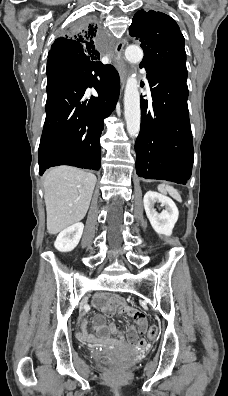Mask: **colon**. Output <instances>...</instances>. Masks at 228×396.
Returning a JSON list of instances; mask_svg holds the SVG:
<instances>
[{
	"label": "colon",
	"instance_id": "5ec220e1",
	"mask_svg": "<svg viewBox=\"0 0 228 396\" xmlns=\"http://www.w3.org/2000/svg\"><path fill=\"white\" fill-rule=\"evenodd\" d=\"M158 329L155 326H151L146 330V335L149 339H155L158 336ZM113 359L107 357L105 358V363L106 364H113Z\"/></svg>",
	"mask_w": 228,
	"mask_h": 396
}]
</instances>
